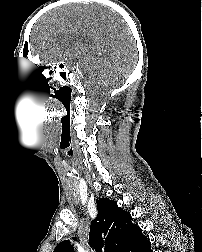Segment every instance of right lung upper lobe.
Here are the masks:
<instances>
[{
	"label": "right lung upper lobe",
	"instance_id": "1",
	"mask_svg": "<svg viewBox=\"0 0 202 252\" xmlns=\"http://www.w3.org/2000/svg\"><path fill=\"white\" fill-rule=\"evenodd\" d=\"M98 215L91 222L89 244L96 252H138L149 239L134 225L129 212L108 198L97 200ZM53 252H74L68 240L60 242Z\"/></svg>",
	"mask_w": 202,
	"mask_h": 252
}]
</instances>
